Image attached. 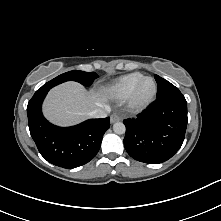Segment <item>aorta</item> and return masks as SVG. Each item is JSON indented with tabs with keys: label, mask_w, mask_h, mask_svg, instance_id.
Returning a JSON list of instances; mask_svg holds the SVG:
<instances>
[{
	"label": "aorta",
	"mask_w": 221,
	"mask_h": 221,
	"mask_svg": "<svg viewBox=\"0 0 221 221\" xmlns=\"http://www.w3.org/2000/svg\"><path fill=\"white\" fill-rule=\"evenodd\" d=\"M113 131H114L116 134H124L125 131H126L125 125H124L122 122H116V123L113 125Z\"/></svg>",
	"instance_id": "762f6f07"
}]
</instances>
